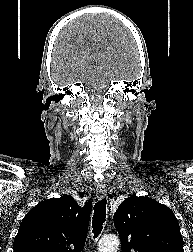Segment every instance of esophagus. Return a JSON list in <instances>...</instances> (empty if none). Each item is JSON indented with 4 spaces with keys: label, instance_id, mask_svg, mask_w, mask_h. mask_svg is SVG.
<instances>
[{
    "label": "esophagus",
    "instance_id": "obj_1",
    "mask_svg": "<svg viewBox=\"0 0 193 252\" xmlns=\"http://www.w3.org/2000/svg\"><path fill=\"white\" fill-rule=\"evenodd\" d=\"M107 195V189L104 184H99L96 189V196L98 200H102L106 197Z\"/></svg>",
    "mask_w": 193,
    "mask_h": 252
}]
</instances>
